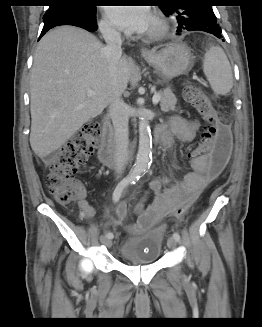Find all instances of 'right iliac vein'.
Segmentation results:
<instances>
[{
    "mask_svg": "<svg viewBox=\"0 0 262 327\" xmlns=\"http://www.w3.org/2000/svg\"><path fill=\"white\" fill-rule=\"evenodd\" d=\"M101 242L108 248H110L112 246V239L106 237V236H103L101 238Z\"/></svg>",
    "mask_w": 262,
    "mask_h": 327,
    "instance_id": "1",
    "label": "right iliac vein"
}]
</instances>
